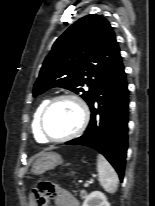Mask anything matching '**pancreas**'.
Listing matches in <instances>:
<instances>
[{"mask_svg":"<svg viewBox=\"0 0 155 206\" xmlns=\"http://www.w3.org/2000/svg\"><path fill=\"white\" fill-rule=\"evenodd\" d=\"M86 196H87L86 191H85V190H81V191H80V197H81V199L86 198Z\"/></svg>","mask_w":155,"mask_h":206,"instance_id":"cf45deb5","label":"pancreas"}]
</instances>
